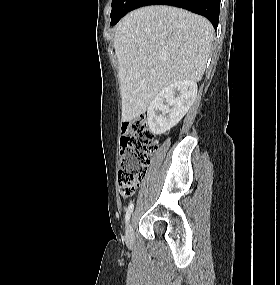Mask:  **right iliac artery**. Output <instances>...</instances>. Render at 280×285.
<instances>
[{
	"instance_id": "right-iliac-artery-1",
	"label": "right iliac artery",
	"mask_w": 280,
	"mask_h": 285,
	"mask_svg": "<svg viewBox=\"0 0 280 285\" xmlns=\"http://www.w3.org/2000/svg\"><path fill=\"white\" fill-rule=\"evenodd\" d=\"M133 211V204H130L126 210V215H125V221L126 223L128 222L130 216H131V213Z\"/></svg>"
}]
</instances>
